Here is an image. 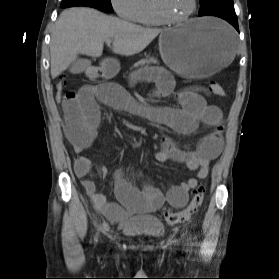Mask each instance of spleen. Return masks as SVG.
<instances>
[{"mask_svg":"<svg viewBox=\"0 0 279 279\" xmlns=\"http://www.w3.org/2000/svg\"><path fill=\"white\" fill-rule=\"evenodd\" d=\"M223 30H224V31H227V29H226V28H223Z\"/></svg>","mask_w":279,"mask_h":279,"instance_id":"3e777b00","label":"spleen"}]
</instances>
